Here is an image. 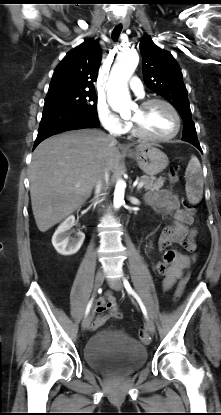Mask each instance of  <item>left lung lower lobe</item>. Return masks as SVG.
<instances>
[{"mask_svg":"<svg viewBox=\"0 0 221 415\" xmlns=\"http://www.w3.org/2000/svg\"><path fill=\"white\" fill-rule=\"evenodd\" d=\"M182 136H183L182 137V140L183 141H186V142H189V143L193 144L195 147H197L202 152L196 134H194V133H188V134H184Z\"/></svg>","mask_w":221,"mask_h":415,"instance_id":"obj_1","label":"left lung lower lobe"}]
</instances>
